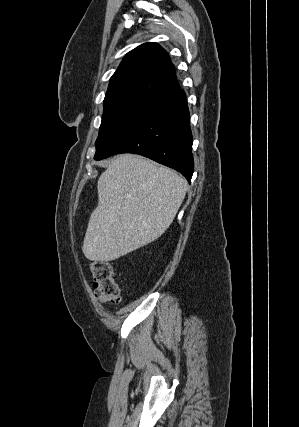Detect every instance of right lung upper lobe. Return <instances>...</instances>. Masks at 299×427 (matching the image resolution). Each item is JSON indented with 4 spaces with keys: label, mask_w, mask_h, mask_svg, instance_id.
I'll list each match as a JSON object with an SVG mask.
<instances>
[{
    "label": "right lung upper lobe",
    "mask_w": 299,
    "mask_h": 427,
    "mask_svg": "<svg viewBox=\"0 0 299 427\" xmlns=\"http://www.w3.org/2000/svg\"><path fill=\"white\" fill-rule=\"evenodd\" d=\"M179 89L166 51L149 42L126 54L110 79L104 100L136 97L155 102Z\"/></svg>",
    "instance_id": "right-lung-upper-lobe-1"
}]
</instances>
